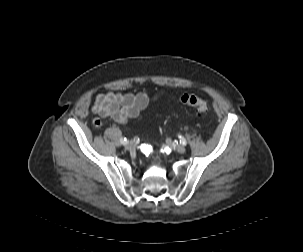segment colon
I'll return each instance as SVG.
<instances>
[{"label":"colon","mask_w":303,"mask_h":252,"mask_svg":"<svg viewBox=\"0 0 303 252\" xmlns=\"http://www.w3.org/2000/svg\"><path fill=\"white\" fill-rule=\"evenodd\" d=\"M174 100L184 105L193 107L198 113H209L210 111L209 103L194 94L186 93L179 96H175ZM97 124H99V122H97Z\"/></svg>","instance_id":"colon-1"}]
</instances>
